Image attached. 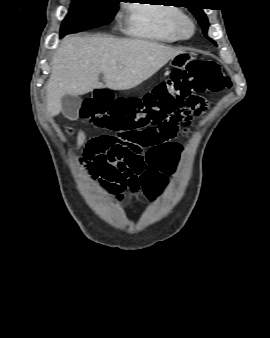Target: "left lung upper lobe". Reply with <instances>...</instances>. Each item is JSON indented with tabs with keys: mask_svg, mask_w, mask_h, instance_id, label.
Segmentation results:
<instances>
[{
	"mask_svg": "<svg viewBox=\"0 0 270 338\" xmlns=\"http://www.w3.org/2000/svg\"><path fill=\"white\" fill-rule=\"evenodd\" d=\"M194 2L193 6H189V10L192 12V14L196 17V19L198 20V23L200 24V26L202 27V30L206 36L207 34V29L209 27V22L208 19L205 15V13L203 12V8L201 7V5H203V1H199V0H194L191 1ZM215 45L216 42L213 41L212 39H210Z\"/></svg>",
	"mask_w": 270,
	"mask_h": 338,
	"instance_id": "left-lung-upper-lobe-1",
	"label": "left lung upper lobe"
}]
</instances>
